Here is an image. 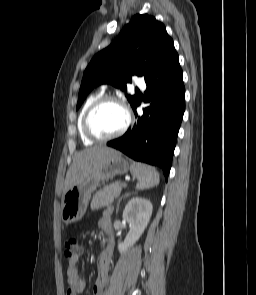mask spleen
<instances>
[{
	"mask_svg": "<svg viewBox=\"0 0 256 295\" xmlns=\"http://www.w3.org/2000/svg\"><path fill=\"white\" fill-rule=\"evenodd\" d=\"M132 172L138 180L136 184V188L138 190L149 189L159 184V173L152 166L142 163H135L132 166Z\"/></svg>",
	"mask_w": 256,
	"mask_h": 295,
	"instance_id": "obj_1",
	"label": "spleen"
}]
</instances>
